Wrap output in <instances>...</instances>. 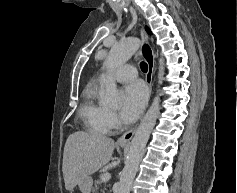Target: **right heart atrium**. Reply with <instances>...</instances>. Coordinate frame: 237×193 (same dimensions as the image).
<instances>
[{
    "mask_svg": "<svg viewBox=\"0 0 237 193\" xmlns=\"http://www.w3.org/2000/svg\"><path fill=\"white\" fill-rule=\"evenodd\" d=\"M109 123H110L111 128L116 127L119 123L117 114L113 111H109Z\"/></svg>",
    "mask_w": 237,
    "mask_h": 193,
    "instance_id": "obj_1",
    "label": "right heart atrium"
}]
</instances>
